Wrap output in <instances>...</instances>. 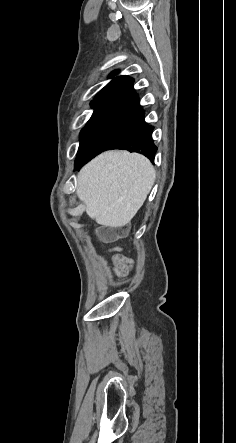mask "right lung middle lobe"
<instances>
[{
	"instance_id": "right-lung-middle-lobe-1",
	"label": "right lung middle lobe",
	"mask_w": 236,
	"mask_h": 443,
	"mask_svg": "<svg viewBox=\"0 0 236 443\" xmlns=\"http://www.w3.org/2000/svg\"><path fill=\"white\" fill-rule=\"evenodd\" d=\"M105 101L91 102V107L95 108L94 113L102 106Z\"/></svg>"
}]
</instances>
